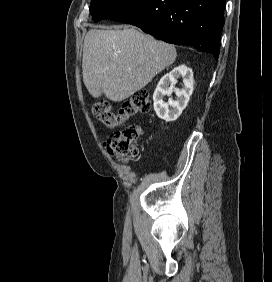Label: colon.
Segmentation results:
<instances>
[{
  "instance_id": "1",
  "label": "colon",
  "mask_w": 272,
  "mask_h": 282,
  "mask_svg": "<svg viewBox=\"0 0 272 282\" xmlns=\"http://www.w3.org/2000/svg\"><path fill=\"white\" fill-rule=\"evenodd\" d=\"M151 108L148 94L138 91L128 98L118 111H113L109 102L93 104V115L104 125L110 128L117 127L105 140L108 152L122 163H128L138 157L137 141L141 135V128L136 124H127V121L136 114L147 113Z\"/></svg>"
}]
</instances>
